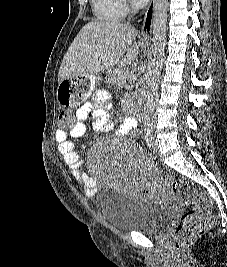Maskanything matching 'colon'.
<instances>
[{
  "instance_id": "obj_1",
  "label": "colon",
  "mask_w": 227,
  "mask_h": 267,
  "mask_svg": "<svg viewBox=\"0 0 227 267\" xmlns=\"http://www.w3.org/2000/svg\"><path fill=\"white\" fill-rule=\"evenodd\" d=\"M59 130H70L75 114L72 110H61ZM173 194L186 204L192 206L185 211L177 222L173 241L177 249L193 241L200 234L208 231L214 223L211 213V201L202 190H195L180 179L166 178Z\"/></svg>"
}]
</instances>
